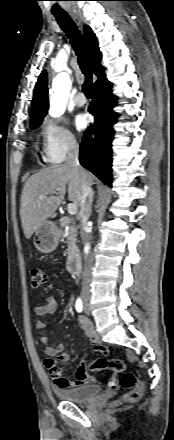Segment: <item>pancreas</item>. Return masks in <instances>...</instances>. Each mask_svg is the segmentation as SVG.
Returning a JSON list of instances; mask_svg holds the SVG:
<instances>
[{"label":"pancreas","instance_id":"1","mask_svg":"<svg viewBox=\"0 0 174 440\" xmlns=\"http://www.w3.org/2000/svg\"><path fill=\"white\" fill-rule=\"evenodd\" d=\"M61 235L66 237V241L68 244V257L71 258L78 254V247L76 245L77 241V227L74 224L69 225L63 231H61Z\"/></svg>","mask_w":174,"mask_h":440}]
</instances>
